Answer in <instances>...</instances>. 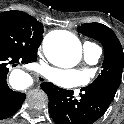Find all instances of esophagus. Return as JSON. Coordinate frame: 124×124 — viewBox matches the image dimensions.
Instances as JSON below:
<instances>
[{"label": "esophagus", "mask_w": 124, "mask_h": 124, "mask_svg": "<svg viewBox=\"0 0 124 124\" xmlns=\"http://www.w3.org/2000/svg\"><path fill=\"white\" fill-rule=\"evenodd\" d=\"M38 81H44L45 80V78L44 77H42V76H38Z\"/></svg>", "instance_id": "esophagus-1"}]
</instances>
